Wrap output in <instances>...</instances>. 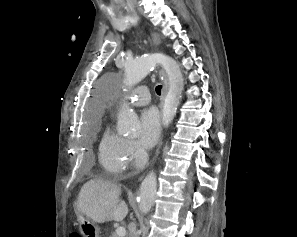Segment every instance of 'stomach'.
Wrapping results in <instances>:
<instances>
[{"label": "stomach", "instance_id": "0dacf381", "mask_svg": "<svg viewBox=\"0 0 297 237\" xmlns=\"http://www.w3.org/2000/svg\"><path fill=\"white\" fill-rule=\"evenodd\" d=\"M79 230L84 237H99V227L91 219L78 215Z\"/></svg>", "mask_w": 297, "mask_h": 237}]
</instances>
